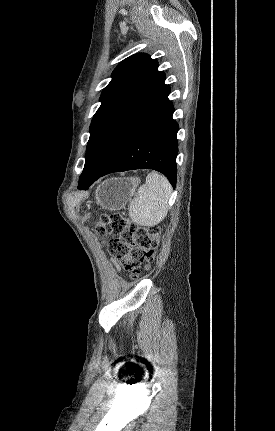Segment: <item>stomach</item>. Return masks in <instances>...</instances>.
<instances>
[{"instance_id": "obj_1", "label": "stomach", "mask_w": 275, "mask_h": 431, "mask_svg": "<svg viewBox=\"0 0 275 431\" xmlns=\"http://www.w3.org/2000/svg\"><path fill=\"white\" fill-rule=\"evenodd\" d=\"M139 183L137 177L106 180L96 191L97 203L107 210H120L131 199Z\"/></svg>"}]
</instances>
